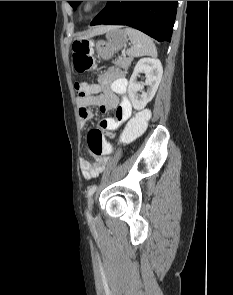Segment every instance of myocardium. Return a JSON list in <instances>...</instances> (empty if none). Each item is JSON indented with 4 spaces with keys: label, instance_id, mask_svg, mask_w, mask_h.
Instances as JSON below:
<instances>
[{
    "label": "myocardium",
    "instance_id": "f54148a6",
    "mask_svg": "<svg viewBox=\"0 0 233 295\" xmlns=\"http://www.w3.org/2000/svg\"><path fill=\"white\" fill-rule=\"evenodd\" d=\"M105 1H81L80 12L83 15H90L104 4Z\"/></svg>",
    "mask_w": 233,
    "mask_h": 295
}]
</instances>
